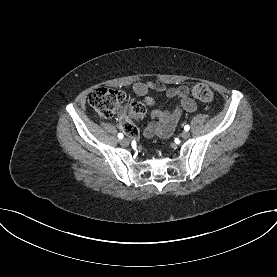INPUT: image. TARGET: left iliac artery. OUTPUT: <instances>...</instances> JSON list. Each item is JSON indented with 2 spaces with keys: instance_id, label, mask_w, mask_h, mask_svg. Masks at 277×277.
<instances>
[{
  "instance_id": "left-iliac-artery-1",
  "label": "left iliac artery",
  "mask_w": 277,
  "mask_h": 277,
  "mask_svg": "<svg viewBox=\"0 0 277 277\" xmlns=\"http://www.w3.org/2000/svg\"><path fill=\"white\" fill-rule=\"evenodd\" d=\"M190 129V126L189 125H186L185 127H184V130L185 131H188Z\"/></svg>"
}]
</instances>
